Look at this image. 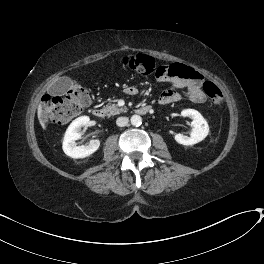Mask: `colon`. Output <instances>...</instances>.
Wrapping results in <instances>:
<instances>
[{
  "label": "colon",
  "mask_w": 264,
  "mask_h": 264,
  "mask_svg": "<svg viewBox=\"0 0 264 264\" xmlns=\"http://www.w3.org/2000/svg\"><path fill=\"white\" fill-rule=\"evenodd\" d=\"M124 69L136 71L145 75H156L160 78L170 77L172 71L168 65H158L147 55H126L121 60ZM203 90L211 103L219 106L223 102L220 88L212 81L203 83ZM90 103V92L87 86L77 83L63 96L46 95L42 98V112L47 120L64 124L80 115Z\"/></svg>",
  "instance_id": "1"
}]
</instances>
